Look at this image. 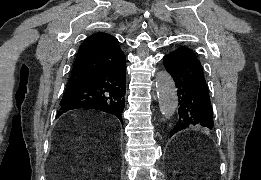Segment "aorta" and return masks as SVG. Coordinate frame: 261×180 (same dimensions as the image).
<instances>
[{
    "instance_id": "obj_1",
    "label": "aorta",
    "mask_w": 261,
    "mask_h": 180,
    "mask_svg": "<svg viewBox=\"0 0 261 180\" xmlns=\"http://www.w3.org/2000/svg\"><path fill=\"white\" fill-rule=\"evenodd\" d=\"M156 92L162 115L169 118L178 107L177 88L167 71H160L156 76Z\"/></svg>"
}]
</instances>
